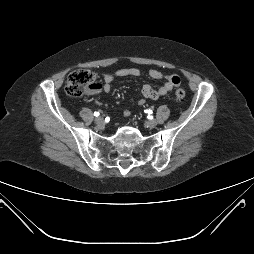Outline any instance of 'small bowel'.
<instances>
[{
	"label": "small bowel",
	"instance_id": "c3829d8e",
	"mask_svg": "<svg viewBox=\"0 0 254 254\" xmlns=\"http://www.w3.org/2000/svg\"><path fill=\"white\" fill-rule=\"evenodd\" d=\"M140 70L138 68H120L116 70L114 73H104L102 75L103 84H99L96 89L91 90L92 93H108L111 90L112 83L114 82L116 77H128V76H139ZM148 75L152 79H165V83L158 88H154L149 84H145L142 87L141 93L143 98L139 99L138 104L144 105L145 99L157 100L162 96H165L169 93L173 88L177 87L181 83V79L176 74H163L162 72L156 69H150L148 71ZM131 114V110L126 108L124 110V115L129 116Z\"/></svg>",
	"mask_w": 254,
	"mask_h": 254
}]
</instances>
